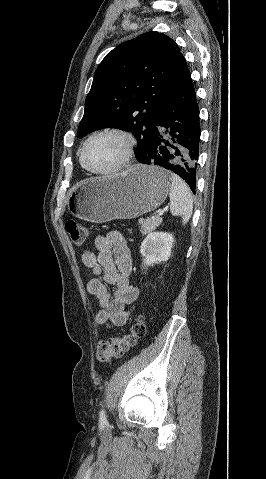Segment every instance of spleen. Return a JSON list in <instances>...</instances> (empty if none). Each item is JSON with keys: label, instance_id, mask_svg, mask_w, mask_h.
Here are the masks:
<instances>
[{"label": "spleen", "instance_id": "3e777b00", "mask_svg": "<svg viewBox=\"0 0 266 479\" xmlns=\"http://www.w3.org/2000/svg\"><path fill=\"white\" fill-rule=\"evenodd\" d=\"M170 212L172 216H180L185 226L193 211V198L188 185L177 175L171 174L169 189Z\"/></svg>", "mask_w": 266, "mask_h": 479}]
</instances>
